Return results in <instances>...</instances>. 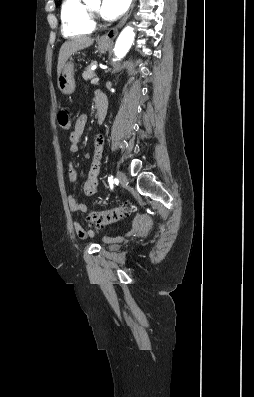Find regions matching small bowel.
<instances>
[{
	"label": "small bowel",
	"mask_w": 254,
	"mask_h": 397,
	"mask_svg": "<svg viewBox=\"0 0 254 397\" xmlns=\"http://www.w3.org/2000/svg\"><path fill=\"white\" fill-rule=\"evenodd\" d=\"M101 93L96 94V99ZM87 124V115L81 114L77 117L74 128L69 135V151L71 154H76L79 151V142ZM104 148V138L101 135H97L94 140V154L91 162V166L87 175V179L84 183L83 190L88 196L93 195L99 186V174L101 169V159ZM68 177L71 183H75L78 178L77 171L74 167V163L69 164ZM68 205L72 212H87L88 208L83 203H80L75 196H68ZM143 225V219L138 218L133 224V229L130 233L136 232ZM76 235L80 239H86L93 237L97 230L96 229H85L77 221L73 224ZM121 237L114 238L112 240H119Z\"/></svg>",
	"instance_id": "1"
}]
</instances>
